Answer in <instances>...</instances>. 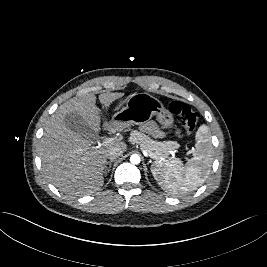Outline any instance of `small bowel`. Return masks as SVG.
I'll use <instances>...</instances> for the list:
<instances>
[{"mask_svg": "<svg viewBox=\"0 0 267 267\" xmlns=\"http://www.w3.org/2000/svg\"><path fill=\"white\" fill-rule=\"evenodd\" d=\"M144 130L147 131L148 133L160 137L162 136V132L159 130L158 126L152 122L147 123L143 126Z\"/></svg>", "mask_w": 267, "mask_h": 267, "instance_id": "small-bowel-1", "label": "small bowel"}]
</instances>
